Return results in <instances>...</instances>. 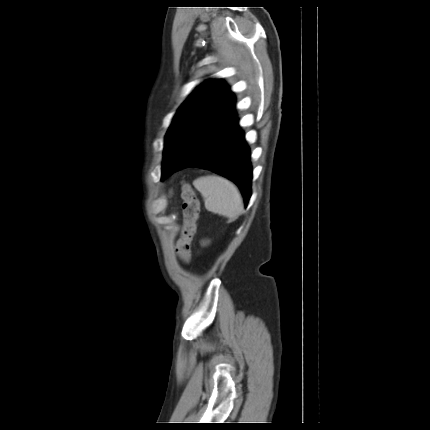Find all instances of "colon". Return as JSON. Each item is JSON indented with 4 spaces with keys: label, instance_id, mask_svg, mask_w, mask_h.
Here are the masks:
<instances>
[{
    "label": "colon",
    "instance_id": "5ec220e1",
    "mask_svg": "<svg viewBox=\"0 0 430 430\" xmlns=\"http://www.w3.org/2000/svg\"><path fill=\"white\" fill-rule=\"evenodd\" d=\"M181 196L184 223L177 245V252L183 263L189 264L192 258V240L196 230L200 205L194 189L189 184H183Z\"/></svg>",
    "mask_w": 430,
    "mask_h": 430
}]
</instances>
